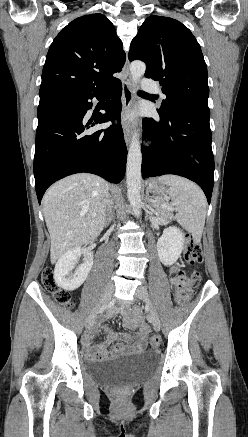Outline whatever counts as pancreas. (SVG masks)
<instances>
[{"instance_id":"pancreas-1","label":"pancreas","mask_w":248,"mask_h":437,"mask_svg":"<svg viewBox=\"0 0 248 437\" xmlns=\"http://www.w3.org/2000/svg\"><path fill=\"white\" fill-rule=\"evenodd\" d=\"M157 213L159 214L161 220L167 221L172 217V213L164 207H157Z\"/></svg>"}]
</instances>
